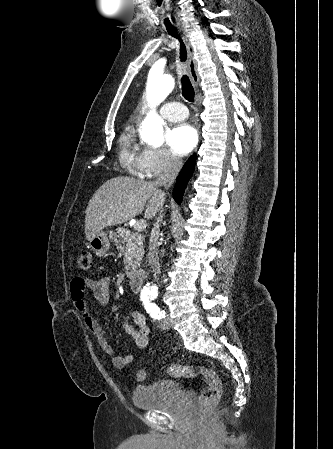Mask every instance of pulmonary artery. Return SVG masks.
<instances>
[{
  "label": "pulmonary artery",
  "mask_w": 333,
  "mask_h": 449,
  "mask_svg": "<svg viewBox=\"0 0 333 449\" xmlns=\"http://www.w3.org/2000/svg\"><path fill=\"white\" fill-rule=\"evenodd\" d=\"M159 111L162 117L169 121L184 120L188 116L186 107L180 102H166Z\"/></svg>",
  "instance_id": "1"
}]
</instances>
